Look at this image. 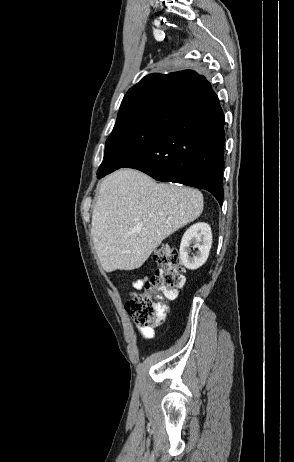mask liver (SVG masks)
<instances>
[{"mask_svg":"<svg viewBox=\"0 0 294 462\" xmlns=\"http://www.w3.org/2000/svg\"><path fill=\"white\" fill-rule=\"evenodd\" d=\"M203 211L199 190L156 183L134 169H120L100 184L91 235L106 272L134 270L169 235Z\"/></svg>","mask_w":294,"mask_h":462,"instance_id":"6515ba94","label":"liver"}]
</instances>
